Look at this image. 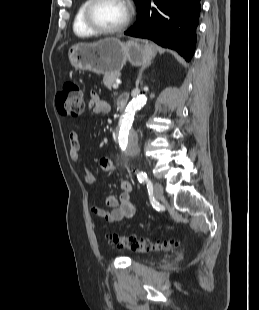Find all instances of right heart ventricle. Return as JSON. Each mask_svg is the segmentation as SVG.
Here are the masks:
<instances>
[{
    "label": "right heart ventricle",
    "mask_w": 259,
    "mask_h": 310,
    "mask_svg": "<svg viewBox=\"0 0 259 310\" xmlns=\"http://www.w3.org/2000/svg\"><path fill=\"white\" fill-rule=\"evenodd\" d=\"M89 0H82L79 4L73 19V31L78 37L86 38L92 36L94 33L90 31L84 23V9Z\"/></svg>",
    "instance_id": "1"
}]
</instances>
